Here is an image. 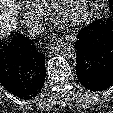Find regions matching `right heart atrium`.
<instances>
[{
  "mask_svg": "<svg viewBox=\"0 0 113 113\" xmlns=\"http://www.w3.org/2000/svg\"><path fill=\"white\" fill-rule=\"evenodd\" d=\"M23 19L29 27H34L40 24L41 14L30 8L23 10Z\"/></svg>",
  "mask_w": 113,
  "mask_h": 113,
  "instance_id": "right-heart-atrium-1",
  "label": "right heart atrium"
}]
</instances>
